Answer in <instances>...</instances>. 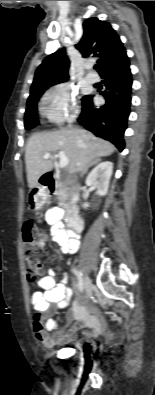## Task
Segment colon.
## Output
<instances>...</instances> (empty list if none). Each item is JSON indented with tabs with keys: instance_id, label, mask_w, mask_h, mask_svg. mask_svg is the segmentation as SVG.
Returning <instances> with one entry per match:
<instances>
[{
	"instance_id": "1",
	"label": "colon",
	"mask_w": 155,
	"mask_h": 395,
	"mask_svg": "<svg viewBox=\"0 0 155 395\" xmlns=\"http://www.w3.org/2000/svg\"><path fill=\"white\" fill-rule=\"evenodd\" d=\"M23 252L27 264L26 276L30 283L37 282L43 273V264L47 260L45 244L47 236L40 232L33 222L28 221L22 229Z\"/></svg>"
}]
</instances>
